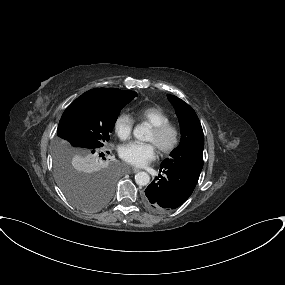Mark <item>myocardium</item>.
<instances>
[{
    "instance_id": "1",
    "label": "myocardium",
    "mask_w": 285,
    "mask_h": 285,
    "mask_svg": "<svg viewBox=\"0 0 285 285\" xmlns=\"http://www.w3.org/2000/svg\"><path fill=\"white\" fill-rule=\"evenodd\" d=\"M152 132L157 138H162L167 133L172 135V139L168 144L159 145L158 150L162 155H169L174 152L181 141V131L177 125L172 122H167L152 128Z\"/></svg>"
}]
</instances>
